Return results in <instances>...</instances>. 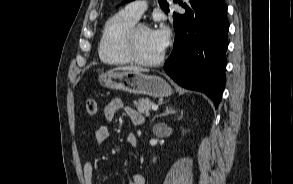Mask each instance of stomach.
Segmentation results:
<instances>
[{
  "label": "stomach",
  "mask_w": 293,
  "mask_h": 184,
  "mask_svg": "<svg viewBox=\"0 0 293 184\" xmlns=\"http://www.w3.org/2000/svg\"><path fill=\"white\" fill-rule=\"evenodd\" d=\"M98 81L106 88L121 90L131 94L162 98L168 97L173 93L170 85L161 77L145 75L141 72L109 71L101 74Z\"/></svg>",
  "instance_id": "stomach-1"
}]
</instances>
